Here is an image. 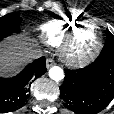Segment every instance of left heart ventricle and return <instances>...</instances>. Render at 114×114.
I'll list each match as a JSON object with an SVG mask.
<instances>
[{"label": "left heart ventricle", "mask_w": 114, "mask_h": 114, "mask_svg": "<svg viewBox=\"0 0 114 114\" xmlns=\"http://www.w3.org/2000/svg\"><path fill=\"white\" fill-rule=\"evenodd\" d=\"M97 39V34L94 27L91 24L83 25L75 37L74 51L83 53L91 49Z\"/></svg>", "instance_id": "1"}]
</instances>
